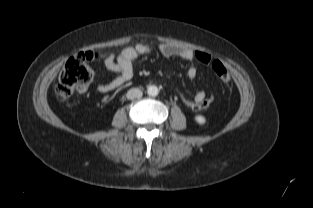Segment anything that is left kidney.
Listing matches in <instances>:
<instances>
[{
  "label": "left kidney",
  "instance_id": "obj_1",
  "mask_svg": "<svg viewBox=\"0 0 313 208\" xmlns=\"http://www.w3.org/2000/svg\"><path fill=\"white\" fill-rule=\"evenodd\" d=\"M195 120H196V122H197L198 124H200V125H203V124H205V122H206L205 118H204L203 116H201V115H197V116L195 117Z\"/></svg>",
  "mask_w": 313,
  "mask_h": 208
}]
</instances>
